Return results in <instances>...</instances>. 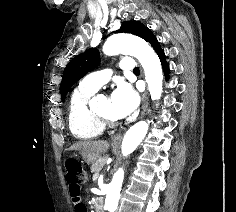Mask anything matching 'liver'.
Instances as JSON below:
<instances>
[{
	"instance_id": "liver-1",
	"label": "liver",
	"mask_w": 236,
	"mask_h": 212,
	"mask_svg": "<svg viewBox=\"0 0 236 212\" xmlns=\"http://www.w3.org/2000/svg\"><path fill=\"white\" fill-rule=\"evenodd\" d=\"M109 148V143L104 140H96V141H80L78 143L73 144L69 147L68 150H76V151H86L88 153H92L96 156H99L102 153H105Z\"/></svg>"
}]
</instances>
